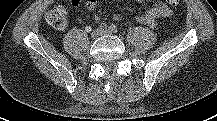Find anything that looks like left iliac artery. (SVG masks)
<instances>
[{"label": "left iliac artery", "instance_id": "obj_1", "mask_svg": "<svg viewBox=\"0 0 217 121\" xmlns=\"http://www.w3.org/2000/svg\"><path fill=\"white\" fill-rule=\"evenodd\" d=\"M109 30H110L111 33H116L118 31V27L115 24H111L109 26Z\"/></svg>", "mask_w": 217, "mask_h": 121}]
</instances>
